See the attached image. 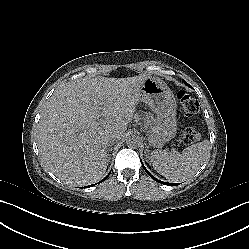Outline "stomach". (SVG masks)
<instances>
[{"label": "stomach", "instance_id": "stomach-1", "mask_svg": "<svg viewBox=\"0 0 249 249\" xmlns=\"http://www.w3.org/2000/svg\"><path fill=\"white\" fill-rule=\"evenodd\" d=\"M137 96L156 114L148 141L153 146L161 147L174 138L177 130L173 94L159 79L148 78L140 86Z\"/></svg>", "mask_w": 249, "mask_h": 249}]
</instances>
